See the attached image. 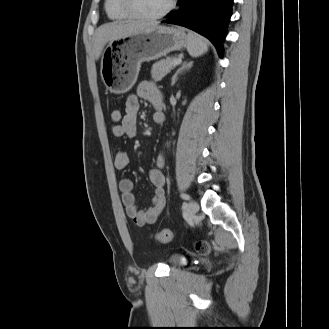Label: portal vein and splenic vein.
I'll list each match as a JSON object with an SVG mask.
<instances>
[{"label": "portal vein and splenic vein", "instance_id": "obj_1", "mask_svg": "<svg viewBox=\"0 0 329 329\" xmlns=\"http://www.w3.org/2000/svg\"><path fill=\"white\" fill-rule=\"evenodd\" d=\"M182 62V59L181 57L177 58L175 61H174V65H178Z\"/></svg>", "mask_w": 329, "mask_h": 329}]
</instances>
